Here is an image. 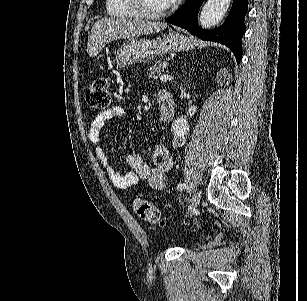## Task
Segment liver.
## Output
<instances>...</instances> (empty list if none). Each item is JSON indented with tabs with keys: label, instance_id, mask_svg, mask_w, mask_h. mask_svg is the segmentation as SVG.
I'll return each mask as SVG.
<instances>
[{
	"label": "liver",
	"instance_id": "1",
	"mask_svg": "<svg viewBox=\"0 0 307 301\" xmlns=\"http://www.w3.org/2000/svg\"><path fill=\"white\" fill-rule=\"evenodd\" d=\"M166 22L154 20H138V18H100L96 20L88 36L87 52L89 56H97L105 44L118 38H135L141 34H154L166 28Z\"/></svg>",
	"mask_w": 307,
	"mask_h": 301
}]
</instances>
